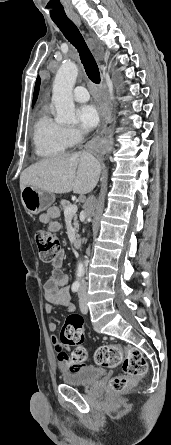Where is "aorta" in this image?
<instances>
[{"label": "aorta", "instance_id": "obj_1", "mask_svg": "<svg viewBox=\"0 0 171 445\" xmlns=\"http://www.w3.org/2000/svg\"><path fill=\"white\" fill-rule=\"evenodd\" d=\"M78 75V67L73 62H65L58 69L52 90V102L56 109L58 123L72 124L76 122L75 105L73 101V87ZM84 274V265H77L76 277L80 279Z\"/></svg>", "mask_w": 171, "mask_h": 445}]
</instances>
